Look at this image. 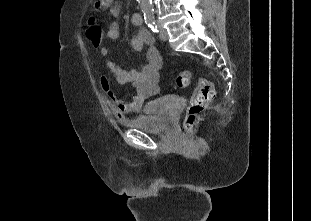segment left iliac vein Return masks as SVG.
I'll use <instances>...</instances> for the list:
<instances>
[{
	"label": "left iliac vein",
	"instance_id": "left-iliac-vein-1",
	"mask_svg": "<svg viewBox=\"0 0 311 221\" xmlns=\"http://www.w3.org/2000/svg\"><path fill=\"white\" fill-rule=\"evenodd\" d=\"M159 38L162 41H167L168 40V32L166 29H164L163 27H159Z\"/></svg>",
	"mask_w": 311,
	"mask_h": 221
}]
</instances>
